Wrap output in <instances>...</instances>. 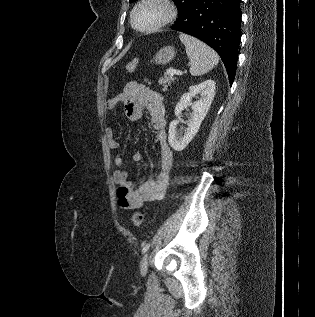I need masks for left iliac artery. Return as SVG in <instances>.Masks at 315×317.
<instances>
[{
  "mask_svg": "<svg viewBox=\"0 0 315 317\" xmlns=\"http://www.w3.org/2000/svg\"><path fill=\"white\" fill-rule=\"evenodd\" d=\"M149 247H150V243L145 244L142 248V253H145L149 249Z\"/></svg>",
  "mask_w": 315,
  "mask_h": 317,
  "instance_id": "obj_1",
  "label": "left iliac artery"
}]
</instances>
